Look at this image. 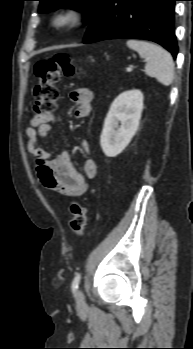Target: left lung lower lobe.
Returning a JSON list of instances; mask_svg holds the SVG:
<instances>
[{"mask_svg": "<svg viewBox=\"0 0 193 349\" xmlns=\"http://www.w3.org/2000/svg\"><path fill=\"white\" fill-rule=\"evenodd\" d=\"M175 1L106 0L88 27L84 43L108 39H146L160 44L176 58Z\"/></svg>", "mask_w": 193, "mask_h": 349, "instance_id": "0a47b994", "label": "left lung lower lobe"}]
</instances>
